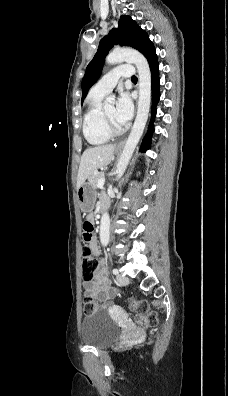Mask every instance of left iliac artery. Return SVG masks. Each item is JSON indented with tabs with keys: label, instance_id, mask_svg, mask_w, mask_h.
I'll use <instances>...</instances> for the list:
<instances>
[{
	"label": "left iliac artery",
	"instance_id": "1",
	"mask_svg": "<svg viewBox=\"0 0 228 396\" xmlns=\"http://www.w3.org/2000/svg\"><path fill=\"white\" fill-rule=\"evenodd\" d=\"M112 273H113L114 275H117V274H118V270H117L116 268H114V269L112 270Z\"/></svg>",
	"mask_w": 228,
	"mask_h": 396
}]
</instances>
